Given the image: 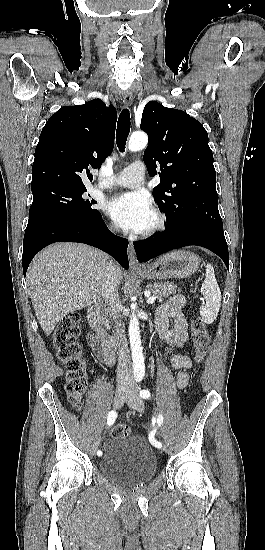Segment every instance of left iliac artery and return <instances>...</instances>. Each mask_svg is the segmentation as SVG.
<instances>
[{
    "label": "left iliac artery",
    "mask_w": 265,
    "mask_h": 550,
    "mask_svg": "<svg viewBox=\"0 0 265 550\" xmlns=\"http://www.w3.org/2000/svg\"><path fill=\"white\" fill-rule=\"evenodd\" d=\"M140 396L143 398V399H148L150 397V392L149 390H141L140 391ZM157 423H158V426H161V424L163 423V416L161 414L158 415V418H157ZM155 432L156 430L152 431L150 434H149V441L150 443L157 447V448H161L162 447V444L160 442H158L154 435H155Z\"/></svg>",
    "instance_id": "left-iliac-artery-1"
}]
</instances>
